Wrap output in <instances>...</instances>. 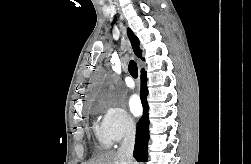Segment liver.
I'll return each mask as SVG.
<instances>
[{
  "label": "liver",
  "mask_w": 251,
  "mask_h": 164,
  "mask_svg": "<svg viewBox=\"0 0 251 164\" xmlns=\"http://www.w3.org/2000/svg\"><path fill=\"white\" fill-rule=\"evenodd\" d=\"M88 164H123L118 152L109 151L100 154L94 161ZM136 164V163H134Z\"/></svg>",
  "instance_id": "obj_1"
}]
</instances>
